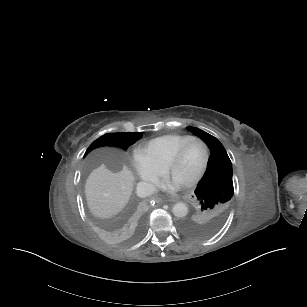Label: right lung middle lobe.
I'll use <instances>...</instances> for the list:
<instances>
[{
    "label": "right lung middle lobe",
    "mask_w": 307,
    "mask_h": 307,
    "mask_svg": "<svg viewBox=\"0 0 307 307\" xmlns=\"http://www.w3.org/2000/svg\"><path fill=\"white\" fill-rule=\"evenodd\" d=\"M141 137L139 132L125 133H108L95 140L85 152V155L91 150L101 146H117L127 149L128 146L134 144Z\"/></svg>",
    "instance_id": "1"
}]
</instances>
